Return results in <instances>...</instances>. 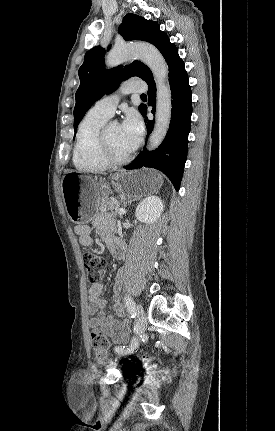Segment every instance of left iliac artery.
<instances>
[{"instance_id": "1", "label": "left iliac artery", "mask_w": 275, "mask_h": 431, "mask_svg": "<svg viewBox=\"0 0 275 431\" xmlns=\"http://www.w3.org/2000/svg\"><path fill=\"white\" fill-rule=\"evenodd\" d=\"M124 302H125V305L127 307L129 314L131 315L132 318H134L136 313H135V303H134L133 299L129 295H125ZM137 348H138V340L136 338H133L131 340V343L129 346H127V347L126 346H117L115 348V351L119 355H127V354H130V353H133L134 351H136Z\"/></svg>"}]
</instances>
